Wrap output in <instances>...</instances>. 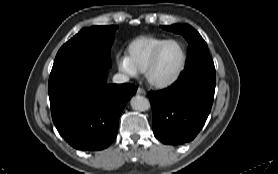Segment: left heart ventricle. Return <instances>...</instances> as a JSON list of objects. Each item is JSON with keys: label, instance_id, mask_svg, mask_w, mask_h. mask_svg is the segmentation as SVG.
Listing matches in <instances>:
<instances>
[{"label": "left heart ventricle", "instance_id": "obj_1", "mask_svg": "<svg viewBox=\"0 0 278 174\" xmlns=\"http://www.w3.org/2000/svg\"><path fill=\"white\" fill-rule=\"evenodd\" d=\"M182 61V50L179 44L169 43L160 52L153 69V77L167 79L178 70Z\"/></svg>", "mask_w": 278, "mask_h": 174}]
</instances>
